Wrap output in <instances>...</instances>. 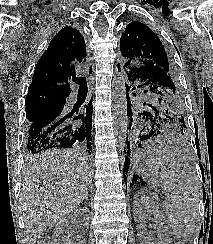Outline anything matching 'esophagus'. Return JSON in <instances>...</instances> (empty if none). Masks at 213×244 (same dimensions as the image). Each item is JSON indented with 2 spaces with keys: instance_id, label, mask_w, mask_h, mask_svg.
<instances>
[{
  "instance_id": "obj_1",
  "label": "esophagus",
  "mask_w": 213,
  "mask_h": 244,
  "mask_svg": "<svg viewBox=\"0 0 213 244\" xmlns=\"http://www.w3.org/2000/svg\"><path fill=\"white\" fill-rule=\"evenodd\" d=\"M87 75H88L89 85L92 86L93 82H94V77H93V73H92L91 69H88Z\"/></svg>"
}]
</instances>
